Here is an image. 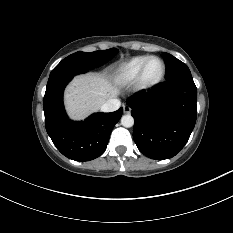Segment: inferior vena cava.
Listing matches in <instances>:
<instances>
[{"label": "inferior vena cava", "instance_id": "inferior-vena-cava-1", "mask_svg": "<svg viewBox=\"0 0 233 233\" xmlns=\"http://www.w3.org/2000/svg\"><path fill=\"white\" fill-rule=\"evenodd\" d=\"M121 102L119 99L111 98L101 106L102 112H113L119 109Z\"/></svg>", "mask_w": 233, "mask_h": 233}]
</instances>
